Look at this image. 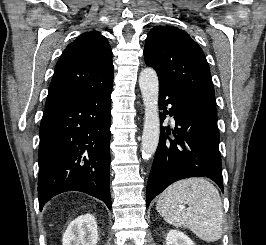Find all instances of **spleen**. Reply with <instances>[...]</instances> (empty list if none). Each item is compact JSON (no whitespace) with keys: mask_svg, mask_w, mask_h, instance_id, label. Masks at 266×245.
Masks as SVG:
<instances>
[{"mask_svg":"<svg viewBox=\"0 0 266 245\" xmlns=\"http://www.w3.org/2000/svg\"><path fill=\"white\" fill-rule=\"evenodd\" d=\"M188 205L187 211L180 207ZM156 211L173 227H187L206 243L222 237L223 209L220 195L208 179H185L160 195Z\"/></svg>","mask_w":266,"mask_h":245,"instance_id":"obj_1","label":"spleen"}]
</instances>
